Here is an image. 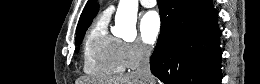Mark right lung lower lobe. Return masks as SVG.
<instances>
[{"instance_id": "right-lung-lower-lobe-1", "label": "right lung lower lobe", "mask_w": 260, "mask_h": 84, "mask_svg": "<svg viewBox=\"0 0 260 84\" xmlns=\"http://www.w3.org/2000/svg\"><path fill=\"white\" fill-rule=\"evenodd\" d=\"M158 7L153 75L165 84H220L221 32L212 0H158Z\"/></svg>"}]
</instances>
